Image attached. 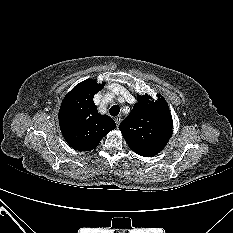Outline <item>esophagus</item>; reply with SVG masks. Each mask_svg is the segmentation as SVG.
<instances>
[{"label": "esophagus", "instance_id": "esophagus-1", "mask_svg": "<svg viewBox=\"0 0 233 233\" xmlns=\"http://www.w3.org/2000/svg\"><path fill=\"white\" fill-rule=\"evenodd\" d=\"M121 120H122V119H121V116H117V117L115 118V122H116V124H117V127L119 126Z\"/></svg>", "mask_w": 233, "mask_h": 233}]
</instances>
